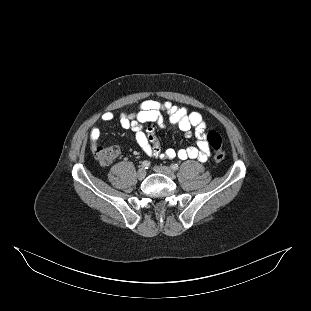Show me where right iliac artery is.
I'll use <instances>...</instances> for the list:
<instances>
[{"mask_svg":"<svg viewBox=\"0 0 311 311\" xmlns=\"http://www.w3.org/2000/svg\"><path fill=\"white\" fill-rule=\"evenodd\" d=\"M141 166H142L143 169H148L150 167V162L145 160V161L142 162Z\"/></svg>","mask_w":311,"mask_h":311,"instance_id":"82829eb1","label":"right iliac artery"}]
</instances>
